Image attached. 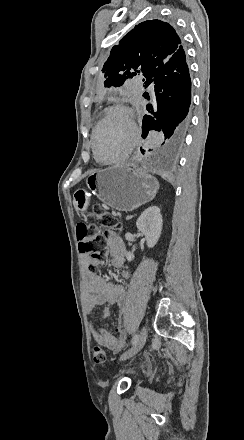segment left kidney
I'll list each match as a JSON object with an SVG mask.
<instances>
[{
    "label": "left kidney",
    "instance_id": "obj_1",
    "mask_svg": "<svg viewBox=\"0 0 244 440\" xmlns=\"http://www.w3.org/2000/svg\"><path fill=\"white\" fill-rule=\"evenodd\" d=\"M136 226L139 232H142L143 236H145L148 248H153V246L157 244L162 232V216L160 214V208H158V206H150V208L144 210L141 216H139ZM133 258L134 254H132V252H127L126 260L131 262Z\"/></svg>",
    "mask_w": 244,
    "mask_h": 440
}]
</instances>
